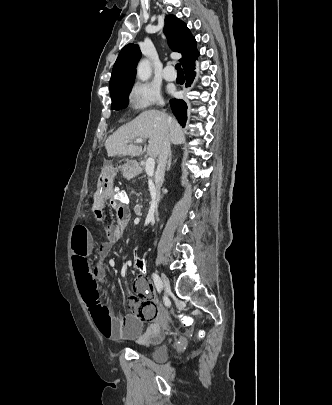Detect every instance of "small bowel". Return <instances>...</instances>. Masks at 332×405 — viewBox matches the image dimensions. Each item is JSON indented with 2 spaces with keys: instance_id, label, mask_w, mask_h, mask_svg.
<instances>
[{
  "instance_id": "c3829d8e",
  "label": "small bowel",
  "mask_w": 332,
  "mask_h": 405,
  "mask_svg": "<svg viewBox=\"0 0 332 405\" xmlns=\"http://www.w3.org/2000/svg\"><path fill=\"white\" fill-rule=\"evenodd\" d=\"M125 171L136 172L138 164L133 159H125L123 164ZM113 164H103L98 176L99 183L95 185V197L90 210V215L98 220L104 216V206L111 204L112 198L111 182ZM118 224L107 228L108 240L100 245L99 253L106 256L113 243L118 241L122 235V229L131 219L129 206L124 212H115ZM72 268L76 277L75 283L80 292V301L88 305L89 319L92 325L97 327L98 332L106 339L114 342L133 340L139 345L161 344V324L164 320L162 308L154 302L152 290L146 279L137 278L132 289L134 295L131 297L132 312L120 315L115 311H109V301H101V283L104 277L103 267L99 264L92 267L90 255L94 248V239L89 230L83 225H76L71 237ZM115 264L114 260L110 261ZM131 260L126 262L129 266ZM140 271V270H138ZM100 279V280H99ZM148 322L146 329L145 324Z\"/></svg>"
}]
</instances>
